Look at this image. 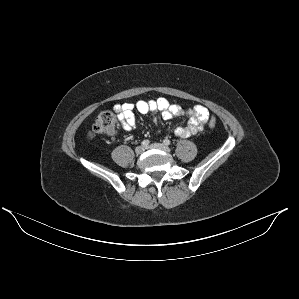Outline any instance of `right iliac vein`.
<instances>
[{
  "mask_svg": "<svg viewBox=\"0 0 299 299\" xmlns=\"http://www.w3.org/2000/svg\"><path fill=\"white\" fill-rule=\"evenodd\" d=\"M144 151H145V148H144L143 146H138V147H136V149H135V153H136L137 155L142 154Z\"/></svg>",
  "mask_w": 299,
  "mask_h": 299,
  "instance_id": "obj_1",
  "label": "right iliac vein"
}]
</instances>
